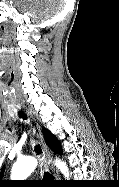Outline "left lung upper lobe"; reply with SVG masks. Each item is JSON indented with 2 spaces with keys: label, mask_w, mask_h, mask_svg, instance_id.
<instances>
[{
  "label": "left lung upper lobe",
  "mask_w": 119,
  "mask_h": 187,
  "mask_svg": "<svg viewBox=\"0 0 119 187\" xmlns=\"http://www.w3.org/2000/svg\"><path fill=\"white\" fill-rule=\"evenodd\" d=\"M43 134H44V138L46 140V143L48 144L50 149L57 154H62V148H61V145H60V142L58 141V139L47 129H43ZM3 172H4V167L2 168V170L0 172V186L1 187H3L4 184H6V183H10L8 181L1 180L2 176H3Z\"/></svg>",
  "instance_id": "5c2ea615"
}]
</instances>
